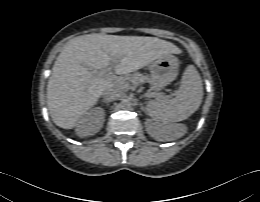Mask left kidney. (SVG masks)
I'll return each mask as SVG.
<instances>
[{"instance_id":"1","label":"left kidney","mask_w":260,"mask_h":202,"mask_svg":"<svg viewBox=\"0 0 260 202\" xmlns=\"http://www.w3.org/2000/svg\"><path fill=\"white\" fill-rule=\"evenodd\" d=\"M178 126L167 125L159 122H151L148 126V133L156 140L166 139L171 140L174 137Z\"/></svg>"}]
</instances>
